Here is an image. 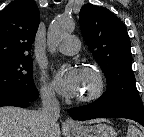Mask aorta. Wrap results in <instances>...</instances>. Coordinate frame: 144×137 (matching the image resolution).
Instances as JSON below:
<instances>
[{"label":"aorta","mask_w":144,"mask_h":137,"mask_svg":"<svg viewBox=\"0 0 144 137\" xmlns=\"http://www.w3.org/2000/svg\"><path fill=\"white\" fill-rule=\"evenodd\" d=\"M74 29V23L70 18L58 16L49 26L47 42L51 52L55 51L58 44Z\"/></svg>","instance_id":"762f6f07"}]
</instances>
